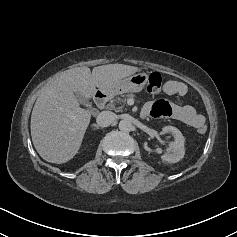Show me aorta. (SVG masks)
I'll return each instance as SVG.
<instances>
[{
	"mask_svg": "<svg viewBox=\"0 0 237 237\" xmlns=\"http://www.w3.org/2000/svg\"><path fill=\"white\" fill-rule=\"evenodd\" d=\"M119 129L122 132H129L132 130V123L129 119H123L119 122Z\"/></svg>",
	"mask_w": 237,
	"mask_h": 237,
	"instance_id": "1",
	"label": "aorta"
}]
</instances>
